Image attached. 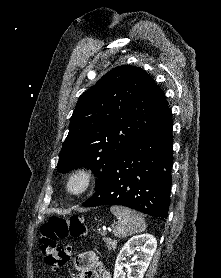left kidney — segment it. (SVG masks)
I'll return each mask as SVG.
<instances>
[{
  "label": "left kidney",
  "instance_id": "5707ae66",
  "mask_svg": "<svg viewBox=\"0 0 221 278\" xmlns=\"http://www.w3.org/2000/svg\"><path fill=\"white\" fill-rule=\"evenodd\" d=\"M157 247V240L151 234H141L131 237L122 247L115 263L114 278H125L123 267L126 256L131 255L135 250H140V260H136L133 265L136 266L133 272L127 274V278H143L152 256Z\"/></svg>",
  "mask_w": 221,
  "mask_h": 278
}]
</instances>
